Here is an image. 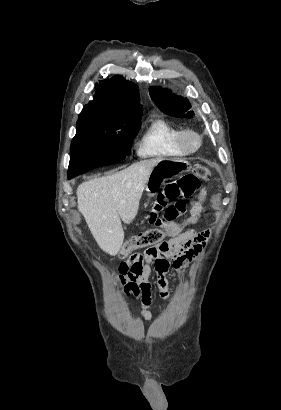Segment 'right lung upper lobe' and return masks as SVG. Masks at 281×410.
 Masks as SVG:
<instances>
[{"label":"right lung upper lobe","mask_w":281,"mask_h":410,"mask_svg":"<svg viewBox=\"0 0 281 410\" xmlns=\"http://www.w3.org/2000/svg\"><path fill=\"white\" fill-rule=\"evenodd\" d=\"M95 95L82 110L108 119H131L142 114L136 85L122 76L104 79L95 86Z\"/></svg>","instance_id":"1"}]
</instances>
